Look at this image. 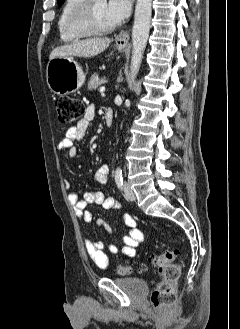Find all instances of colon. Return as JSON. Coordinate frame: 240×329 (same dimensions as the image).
<instances>
[{"instance_id":"5ec220e1","label":"colon","mask_w":240,"mask_h":329,"mask_svg":"<svg viewBox=\"0 0 240 329\" xmlns=\"http://www.w3.org/2000/svg\"><path fill=\"white\" fill-rule=\"evenodd\" d=\"M59 123L69 126L84 114L82 103L69 96H60L56 100ZM178 255L177 250H168L162 254L150 257L149 264L161 274V280L152 292L150 302L154 308L164 310L172 306L176 301L177 283L181 274L179 264L170 262ZM118 271L127 274L129 267H119Z\"/></svg>"}]
</instances>
